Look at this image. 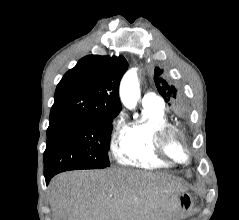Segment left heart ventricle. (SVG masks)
<instances>
[{
	"label": "left heart ventricle",
	"instance_id": "left-heart-ventricle-1",
	"mask_svg": "<svg viewBox=\"0 0 239 220\" xmlns=\"http://www.w3.org/2000/svg\"><path fill=\"white\" fill-rule=\"evenodd\" d=\"M169 150L174 156L178 158H182L184 155L180 142L176 138L171 139L169 143Z\"/></svg>",
	"mask_w": 239,
	"mask_h": 220
}]
</instances>
